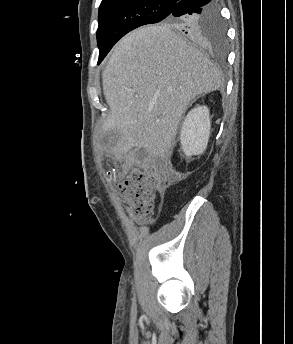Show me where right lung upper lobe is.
<instances>
[{"label": "right lung upper lobe", "mask_w": 293, "mask_h": 344, "mask_svg": "<svg viewBox=\"0 0 293 344\" xmlns=\"http://www.w3.org/2000/svg\"><path fill=\"white\" fill-rule=\"evenodd\" d=\"M106 1H118V0H102V2H106ZM165 1H170V2H177L179 0H165Z\"/></svg>", "instance_id": "right-lung-upper-lobe-1"}]
</instances>
